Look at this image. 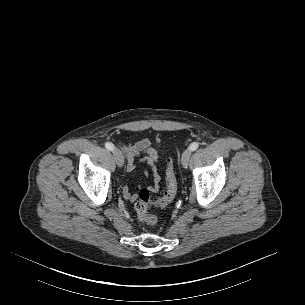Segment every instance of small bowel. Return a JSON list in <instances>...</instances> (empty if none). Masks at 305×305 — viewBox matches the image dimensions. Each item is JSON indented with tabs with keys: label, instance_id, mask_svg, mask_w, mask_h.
<instances>
[{
	"label": "small bowel",
	"instance_id": "small-bowel-1",
	"mask_svg": "<svg viewBox=\"0 0 305 305\" xmlns=\"http://www.w3.org/2000/svg\"><path fill=\"white\" fill-rule=\"evenodd\" d=\"M124 150L127 153V170L133 171L136 167L138 159L146 161L153 173V184L150 189L153 192L159 190L160 176L157 172L156 162L158 161V153L152 148V141L148 138L141 139L133 145H125ZM123 196L126 200L134 202L137 194L132 192L128 185L123 189Z\"/></svg>",
	"mask_w": 305,
	"mask_h": 305
}]
</instances>
